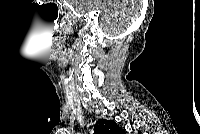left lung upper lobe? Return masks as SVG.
I'll return each instance as SVG.
<instances>
[{
    "label": "left lung upper lobe",
    "mask_w": 200,
    "mask_h": 134,
    "mask_svg": "<svg viewBox=\"0 0 200 134\" xmlns=\"http://www.w3.org/2000/svg\"><path fill=\"white\" fill-rule=\"evenodd\" d=\"M95 134H125V131L120 128L114 121L100 119L94 128Z\"/></svg>",
    "instance_id": "left-lung-upper-lobe-1"
}]
</instances>
